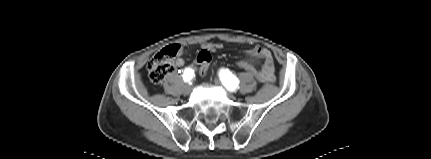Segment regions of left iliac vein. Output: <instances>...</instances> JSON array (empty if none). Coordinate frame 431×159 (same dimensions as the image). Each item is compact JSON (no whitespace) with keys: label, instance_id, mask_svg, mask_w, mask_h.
I'll return each mask as SVG.
<instances>
[{"label":"left iliac vein","instance_id":"obj_1","mask_svg":"<svg viewBox=\"0 0 431 159\" xmlns=\"http://www.w3.org/2000/svg\"><path fill=\"white\" fill-rule=\"evenodd\" d=\"M214 83H215L217 86H221V82H220V80H219V79H215V80H214ZM228 97H229V98H232L233 96H232V94H228Z\"/></svg>","mask_w":431,"mask_h":159}]
</instances>
